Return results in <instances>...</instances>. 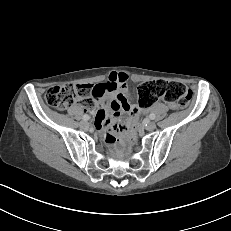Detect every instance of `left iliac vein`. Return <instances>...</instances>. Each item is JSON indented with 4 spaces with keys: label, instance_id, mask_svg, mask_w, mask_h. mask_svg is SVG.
I'll list each match as a JSON object with an SVG mask.
<instances>
[{
    "label": "left iliac vein",
    "instance_id": "4c4485c4",
    "mask_svg": "<svg viewBox=\"0 0 231 231\" xmlns=\"http://www.w3.org/2000/svg\"><path fill=\"white\" fill-rule=\"evenodd\" d=\"M146 129L148 131H153L156 129V124L154 122H149L147 125H146Z\"/></svg>",
    "mask_w": 231,
    "mask_h": 231
}]
</instances>
